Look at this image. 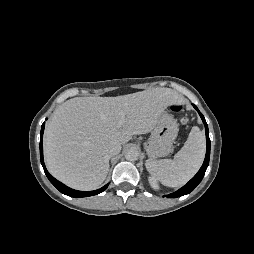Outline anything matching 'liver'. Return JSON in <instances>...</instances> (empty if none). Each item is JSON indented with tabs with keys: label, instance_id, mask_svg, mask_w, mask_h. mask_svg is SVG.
Returning a JSON list of instances; mask_svg holds the SVG:
<instances>
[{
	"label": "liver",
	"instance_id": "liver-1",
	"mask_svg": "<svg viewBox=\"0 0 254 254\" xmlns=\"http://www.w3.org/2000/svg\"><path fill=\"white\" fill-rule=\"evenodd\" d=\"M181 101L170 88H152L117 97H76L60 105L45 129L44 157L49 172L78 190H93L109 170L106 150L134 134L153 130L159 116ZM125 120L118 127L119 113Z\"/></svg>",
	"mask_w": 254,
	"mask_h": 254
}]
</instances>
